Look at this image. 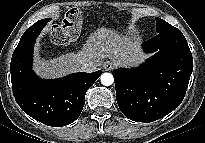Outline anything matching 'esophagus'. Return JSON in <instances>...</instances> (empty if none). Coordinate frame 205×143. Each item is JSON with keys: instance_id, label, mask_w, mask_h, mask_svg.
<instances>
[{"instance_id": "esophagus-1", "label": "esophagus", "mask_w": 205, "mask_h": 143, "mask_svg": "<svg viewBox=\"0 0 205 143\" xmlns=\"http://www.w3.org/2000/svg\"><path fill=\"white\" fill-rule=\"evenodd\" d=\"M115 68V63L111 62V61H108L104 64V69L106 71H110V70H113Z\"/></svg>"}]
</instances>
